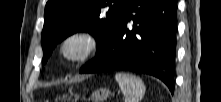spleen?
Returning a JSON list of instances; mask_svg holds the SVG:
<instances>
[{
	"instance_id": "3e777b00",
	"label": "spleen",
	"mask_w": 221,
	"mask_h": 102,
	"mask_svg": "<svg viewBox=\"0 0 221 102\" xmlns=\"http://www.w3.org/2000/svg\"><path fill=\"white\" fill-rule=\"evenodd\" d=\"M125 102H140L145 94V86L141 78L124 72L115 74Z\"/></svg>"
}]
</instances>
